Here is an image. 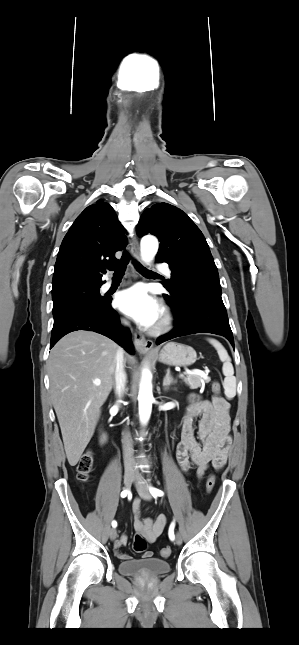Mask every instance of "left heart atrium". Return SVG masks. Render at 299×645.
<instances>
[{"instance_id": "left-heart-atrium-1", "label": "left heart atrium", "mask_w": 299, "mask_h": 645, "mask_svg": "<svg viewBox=\"0 0 299 645\" xmlns=\"http://www.w3.org/2000/svg\"><path fill=\"white\" fill-rule=\"evenodd\" d=\"M116 307L143 326H151L159 316V306L145 288L135 285L118 293Z\"/></svg>"}]
</instances>
